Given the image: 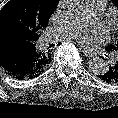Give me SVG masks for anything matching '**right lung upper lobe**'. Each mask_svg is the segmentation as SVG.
Listing matches in <instances>:
<instances>
[{"label":"right lung upper lobe","mask_w":118,"mask_h":118,"mask_svg":"<svg viewBox=\"0 0 118 118\" xmlns=\"http://www.w3.org/2000/svg\"><path fill=\"white\" fill-rule=\"evenodd\" d=\"M37 2L38 14L44 22V27L32 36L23 39L15 30L6 24L0 23V39L6 38L9 35L17 34L27 45L37 50L35 70L39 73L43 72L51 62V51L40 49L38 39L41 32L47 27L50 16L55 11L59 0H35Z\"/></svg>","instance_id":"1"}]
</instances>
